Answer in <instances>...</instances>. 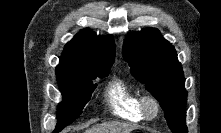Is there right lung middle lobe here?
<instances>
[{
	"label": "right lung middle lobe",
	"instance_id": "obj_1",
	"mask_svg": "<svg viewBox=\"0 0 221 133\" xmlns=\"http://www.w3.org/2000/svg\"><path fill=\"white\" fill-rule=\"evenodd\" d=\"M111 66L112 64L96 65L56 75L63 100L58 105V122L53 133L61 131L79 117L96 87L93 80L108 76Z\"/></svg>",
	"mask_w": 221,
	"mask_h": 133
}]
</instances>
